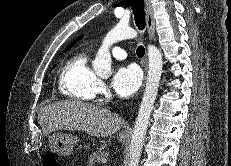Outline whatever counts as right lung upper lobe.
<instances>
[{
	"mask_svg": "<svg viewBox=\"0 0 231 166\" xmlns=\"http://www.w3.org/2000/svg\"><path fill=\"white\" fill-rule=\"evenodd\" d=\"M82 38V36H80V37H78L76 40H74L65 50H64V52H66V51H68L69 49H71L72 47H73V45H75V43L79 40V39H81Z\"/></svg>",
	"mask_w": 231,
	"mask_h": 166,
	"instance_id": "obj_1",
	"label": "right lung upper lobe"
}]
</instances>
